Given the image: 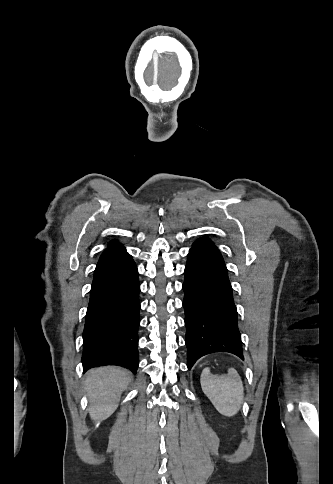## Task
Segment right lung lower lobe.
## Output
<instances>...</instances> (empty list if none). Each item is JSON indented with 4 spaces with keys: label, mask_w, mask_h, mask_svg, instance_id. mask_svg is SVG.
Here are the masks:
<instances>
[{
    "label": "right lung lower lobe",
    "mask_w": 333,
    "mask_h": 484,
    "mask_svg": "<svg viewBox=\"0 0 333 484\" xmlns=\"http://www.w3.org/2000/svg\"><path fill=\"white\" fill-rule=\"evenodd\" d=\"M138 270L120 245L104 250L94 272L83 332L84 372L119 365L136 373L139 363Z\"/></svg>",
    "instance_id": "98d812e1"
}]
</instances>
